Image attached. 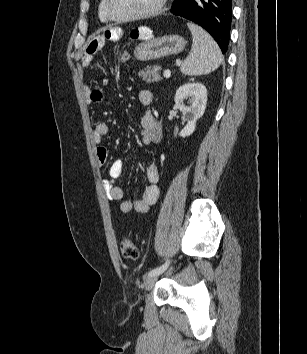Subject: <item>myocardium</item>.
Wrapping results in <instances>:
<instances>
[{
	"label": "myocardium",
	"mask_w": 307,
	"mask_h": 354,
	"mask_svg": "<svg viewBox=\"0 0 307 354\" xmlns=\"http://www.w3.org/2000/svg\"><path fill=\"white\" fill-rule=\"evenodd\" d=\"M166 2L167 0H157L156 4L151 9L138 14L126 15V16L117 15L113 11L111 6V0H104V6H105L106 13L110 19L118 22H129V21H136V20H142V19L154 17L160 14L166 5Z\"/></svg>",
	"instance_id": "1"
}]
</instances>
